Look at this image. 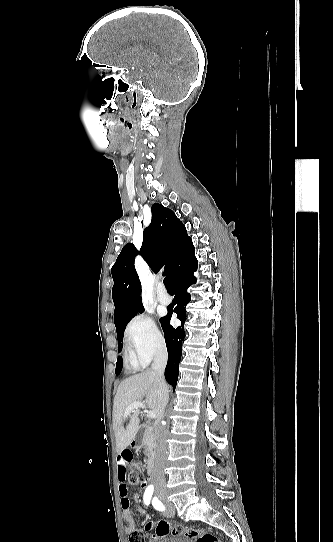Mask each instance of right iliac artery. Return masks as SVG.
Segmentation results:
<instances>
[{
    "label": "right iliac artery",
    "instance_id": "right-iliac-artery-1",
    "mask_svg": "<svg viewBox=\"0 0 333 542\" xmlns=\"http://www.w3.org/2000/svg\"><path fill=\"white\" fill-rule=\"evenodd\" d=\"M152 494H153V486L151 485L147 487L143 496V500L146 505L150 504ZM156 500H158V498H156Z\"/></svg>",
    "mask_w": 333,
    "mask_h": 542
}]
</instances>
